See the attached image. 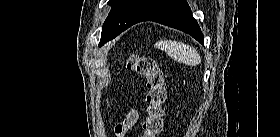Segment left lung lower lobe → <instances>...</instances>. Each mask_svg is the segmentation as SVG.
<instances>
[{"instance_id":"0a47b994","label":"left lung lower lobe","mask_w":280,"mask_h":137,"mask_svg":"<svg viewBox=\"0 0 280 137\" xmlns=\"http://www.w3.org/2000/svg\"><path fill=\"white\" fill-rule=\"evenodd\" d=\"M142 21H153L181 30L201 44L204 42L201 29L186 0H161L136 23Z\"/></svg>"}]
</instances>
